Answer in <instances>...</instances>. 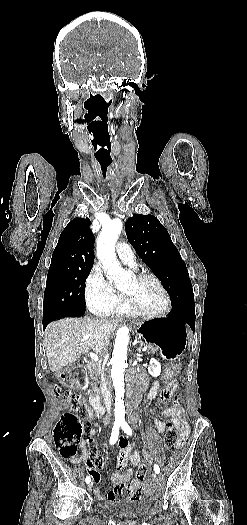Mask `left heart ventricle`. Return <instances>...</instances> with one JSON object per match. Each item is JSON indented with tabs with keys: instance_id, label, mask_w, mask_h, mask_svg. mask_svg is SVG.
Listing matches in <instances>:
<instances>
[{
	"instance_id": "1",
	"label": "left heart ventricle",
	"mask_w": 247,
	"mask_h": 525,
	"mask_svg": "<svg viewBox=\"0 0 247 525\" xmlns=\"http://www.w3.org/2000/svg\"><path fill=\"white\" fill-rule=\"evenodd\" d=\"M123 291L136 296L147 308L156 310L165 303V296L157 284L149 278H130L122 288Z\"/></svg>"
}]
</instances>
